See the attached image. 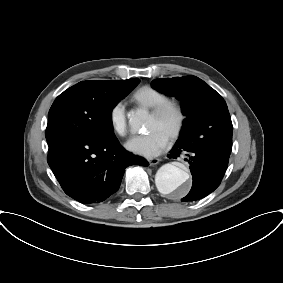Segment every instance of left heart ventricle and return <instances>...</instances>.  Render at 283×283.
<instances>
[{
  "instance_id": "1",
  "label": "left heart ventricle",
  "mask_w": 283,
  "mask_h": 283,
  "mask_svg": "<svg viewBox=\"0 0 283 283\" xmlns=\"http://www.w3.org/2000/svg\"><path fill=\"white\" fill-rule=\"evenodd\" d=\"M176 124V114L173 111L166 113L161 117H154L149 115L146 122V130L150 131L152 129H157L169 136Z\"/></svg>"
}]
</instances>
